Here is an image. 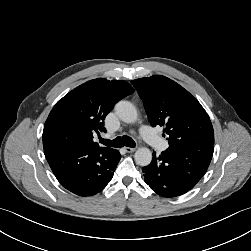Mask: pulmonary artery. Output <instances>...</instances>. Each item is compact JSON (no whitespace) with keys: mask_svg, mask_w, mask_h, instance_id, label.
Here are the masks:
<instances>
[{"mask_svg":"<svg viewBox=\"0 0 251 251\" xmlns=\"http://www.w3.org/2000/svg\"><path fill=\"white\" fill-rule=\"evenodd\" d=\"M140 134L143 139L153 148L158 151H164L167 149L168 144L162 140L151 128L148 126H141Z\"/></svg>","mask_w":251,"mask_h":251,"instance_id":"e3ab8cb5","label":"pulmonary artery"}]
</instances>
